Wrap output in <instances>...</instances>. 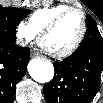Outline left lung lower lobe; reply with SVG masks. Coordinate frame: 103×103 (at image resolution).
Masks as SVG:
<instances>
[{
    "instance_id": "0a47b994",
    "label": "left lung lower lobe",
    "mask_w": 103,
    "mask_h": 103,
    "mask_svg": "<svg viewBox=\"0 0 103 103\" xmlns=\"http://www.w3.org/2000/svg\"><path fill=\"white\" fill-rule=\"evenodd\" d=\"M54 68L53 80L44 86L48 103H90L103 74V39L97 26L87 28L79 48Z\"/></svg>"
}]
</instances>
